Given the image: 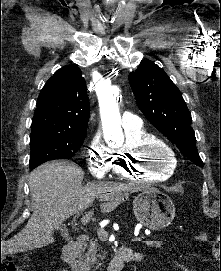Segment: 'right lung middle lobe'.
Masks as SVG:
<instances>
[{"label":"right lung middle lobe","instance_id":"1","mask_svg":"<svg viewBox=\"0 0 221 271\" xmlns=\"http://www.w3.org/2000/svg\"><path fill=\"white\" fill-rule=\"evenodd\" d=\"M86 133H62L55 131H32L29 168L53 159H70L82 146Z\"/></svg>","mask_w":221,"mask_h":271}]
</instances>
